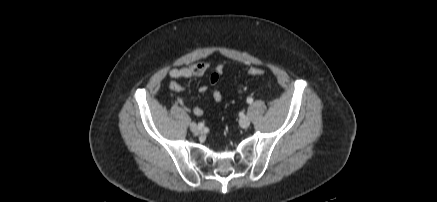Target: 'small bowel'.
<instances>
[{"label":"small bowel","instance_id":"c3829d8e","mask_svg":"<svg viewBox=\"0 0 437 202\" xmlns=\"http://www.w3.org/2000/svg\"><path fill=\"white\" fill-rule=\"evenodd\" d=\"M225 68V63H220L214 67L209 75V82L215 85L219 81V77ZM210 69V64L208 62H198L191 64L186 67L172 68L168 72V76L173 80L177 79H192L203 76ZM169 89L175 92H183L185 87L176 82L172 81L169 84ZM199 92L205 93L208 91V87L205 84H201L198 87ZM210 99L216 103H220L223 100V95L218 90H213L210 93ZM179 104L188 112H191L197 116L204 113L203 109L198 106H192L191 104L184 101L182 98L178 99Z\"/></svg>","mask_w":437,"mask_h":202}]
</instances>
